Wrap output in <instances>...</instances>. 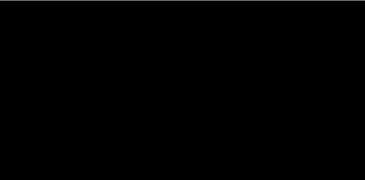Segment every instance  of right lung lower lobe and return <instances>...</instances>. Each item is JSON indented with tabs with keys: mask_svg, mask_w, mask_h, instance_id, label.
<instances>
[{
	"mask_svg": "<svg viewBox=\"0 0 365 180\" xmlns=\"http://www.w3.org/2000/svg\"><path fill=\"white\" fill-rule=\"evenodd\" d=\"M172 117L165 102H136L106 108L102 124L114 155L127 166L144 169L163 156L180 130V120Z\"/></svg>",
	"mask_w": 365,
	"mask_h": 180,
	"instance_id": "obj_1",
	"label": "right lung lower lobe"
}]
</instances>
